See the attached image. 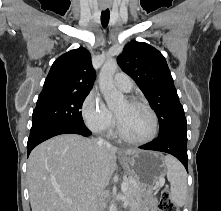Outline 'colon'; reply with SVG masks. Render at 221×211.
<instances>
[{
	"label": "colon",
	"mask_w": 221,
	"mask_h": 211,
	"mask_svg": "<svg viewBox=\"0 0 221 211\" xmlns=\"http://www.w3.org/2000/svg\"><path fill=\"white\" fill-rule=\"evenodd\" d=\"M159 211H178L177 206L171 199L170 193L164 189L161 193L160 201L158 204Z\"/></svg>",
	"instance_id": "colon-1"
}]
</instances>
